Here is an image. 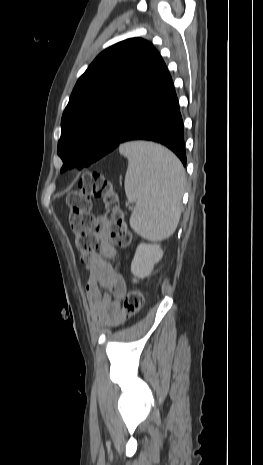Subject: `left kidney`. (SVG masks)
Listing matches in <instances>:
<instances>
[{"mask_svg": "<svg viewBox=\"0 0 263 465\" xmlns=\"http://www.w3.org/2000/svg\"><path fill=\"white\" fill-rule=\"evenodd\" d=\"M163 256V251L159 244L141 243L136 249L133 261L131 263V272L134 275L133 282L143 279L150 275L155 263Z\"/></svg>", "mask_w": 263, "mask_h": 465, "instance_id": "left-kidney-1", "label": "left kidney"}]
</instances>
